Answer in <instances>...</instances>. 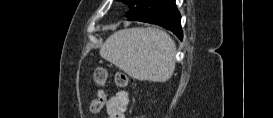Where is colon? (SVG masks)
<instances>
[{"instance_id":"obj_1","label":"colon","mask_w":273,"mask_h":118,"mask_svg":"<svg viewBox=\"0 0 273 118\" xmlns=\"http://www.w3.org/2000/svg\"><path fill=\"white\" fill-rule=\"evenodd\" d=\"M108 78V71L104 67H97L94 72V79L96 83L100 86L96 97L92 100L90 104V110L93 113L101 111L107 102L106 92L104 87L106 85ZM115 82L119 87H127L129 84V78L126 74L122 72H117L115 74Z\"/></svg>"}]
</instances>
